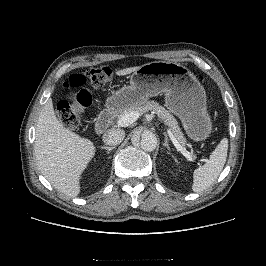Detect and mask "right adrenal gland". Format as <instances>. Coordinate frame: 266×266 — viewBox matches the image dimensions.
Returning <instances> with one entry per match:
<instances>
[{
  "label": "right adrenal gland",
  "mask_w": 266,
  "mask_h": 266,
  "mask_svg": "<svg viewBox=\"0 0 266 266\" xmlns=\"http://www.w3.org/2000/svg\"><path fill=\"white\" fill-rule=\"evenodd\" d=\"M101 149L107 150V153L109 154L111 150L115 149V147L102 146Z\"/></svg>",
  "instance_id": "2a0ac1e0"
}]
</instances>
